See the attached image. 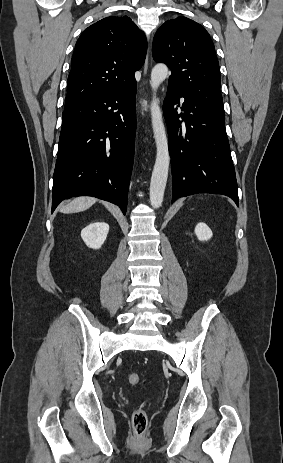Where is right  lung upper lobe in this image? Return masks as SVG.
Segmentation results:
<instances>
[{
    "label": "right lung upper lobe",
    "instance_id": "obj_1",
    "mask_svg": "<svg viewBox=\"0 0 283 463\" xmlns=\"http://www.w3.org/2000/svg\"><path fill=\"white\" fill-rule=\"evenodd\" d=\"M146 51L143 32L127 16L106 17L89 26L75 46L65 108L136 82L134 74Z\"/></svg>",
    "mask_w": 283,
    "mask_h": 463
}]
</instances>
